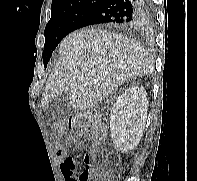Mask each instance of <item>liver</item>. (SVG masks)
I'll return each instance as SVG.
<instances>
[{"label": "liver", "mask_w": 197, "mask_h": 181, "mask_svg": "<svg viewBox=\"0 0 197 181\" xmlns=\"http://www.w3.org/2000/svg\"><path fill=\"white\" fill-rule=\"evenodd\" d=\"M60 60L49 76L42 107L63 93L75 109H92L128 78L153 72V60L142 45L120 34L87 28L66 36Z\"/></svg>", "instance_id": "6515ba94"}]
</instances>
